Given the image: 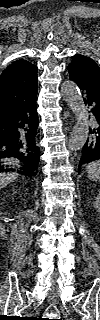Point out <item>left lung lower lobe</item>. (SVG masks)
Listing matches in <instances>:
<instances>
[{
  "label": "left lung lower lobe",
  "mask_w": 100,
  "mask_h": 320,
  "mask_svg": "<svg viewBox=\"0 0 100 320\" xmlns=\"http://www.w3.org/2000/svg\"><path fill=\"white\" fill-rule=\"evenodd\" d=\"M71 80L74 81L82 90V94L85 96V103L92 106L90 112L93 114L91 127L89 128V135L82 149L79 161V167H81L85 163L100 160V96L90 92L75 80Z\"/></svg>",
  "instance_id": "0a47b994"
}]
</instances>
